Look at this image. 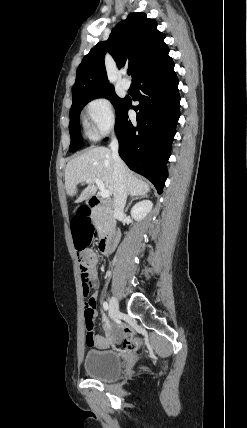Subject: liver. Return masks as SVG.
<instances>
[{"label":"liver","instance_id":"6515ba94","mask_svg":"<svg viewBox=\"0 0 247 428\" xmlns=\"http://www.w3.org/2000/svg\"><path fill=\"white\" fill-rule=\"evenodd\" d=\"M114 162L109 148L98 146L88 149L80 156L70 160L65 169V188L69 196L77 193V185L87 182V178L100 179L105 188L114 194ZM127 193L132 196H143L149 191V185L137 178L125 166ZM88 186L75 201L80 203L97 192L95 182H87Z\"/></svg>","mask_w":247,"mask_h":428}]
</instances>
